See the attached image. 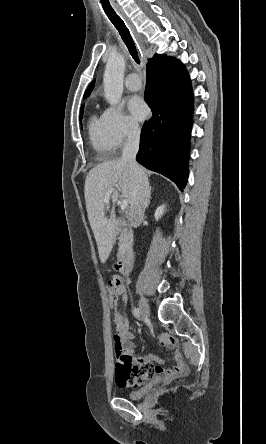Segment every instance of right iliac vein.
Wrapping results in <instances>:
<instances>
[{
	"label": "right iliac vein",
	"mask_w": 266,
	"mask_h": 444,
	"mask_svg": "<svg viewBox=\"0 0 266 444\" xmlns=\"http://www.w3.org/2000/svg\"><path fill=\"white\" fill-rule=\"evenodd\" d=\"M139 308H140V314H141L142 318L143 319L149 318V316H150L149 307H148L146 300L142 297L139 299Z\"/></svg>",
	"instance_id": "63e3f726"
}]
</instances>
